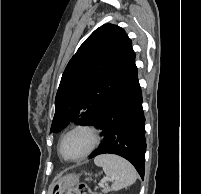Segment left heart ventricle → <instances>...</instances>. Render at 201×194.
I'll return each instance as SVG.
<instances>
[{"mask_svg": "<svg viewBox=\"0 0 201 194\" xmlns=\"http://www.w3.org/2000/svg\"><path fill=\"white\" fill-rule=\"evenodd\" d=\"M90 142L88 133L84 131L72 133L63 141L62 152L66 157H77L89 147Z\"/></svg>", "mask_w": 201, "mask_h": 194, "instance_id": "left-heart-ventricle-1", "label": "left heart ventricle"}]
</instances>
